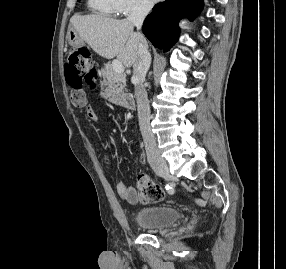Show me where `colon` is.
<instances>
[{
	"label": "colon",
	"mask_w": 286,
	"mask_h": 269,
	"mask_svg": "<svg viewBox=\"0 0 286 269\" xmlns=\"http://www.w3.org/2000/svg\"><path fill=\"white\" fill-rule=\"evenodd\" d=\"M65 73L74 90L84 86L93 87L97 82V71L90 51L86 48H73L67 53ZM139 197L145 202L162 200L163 191L154 185L146 175H140L137 182Z\"/></svg>",
	"instance_id": "5ec220e1"
}]
</instances>
